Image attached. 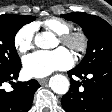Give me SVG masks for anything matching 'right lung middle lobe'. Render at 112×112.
I'll return each mask as SVG.
<instances>
[{"label":"right lung middle lobe","mask_w":112,"mask_h":112,"mask_svg":"<svg viewBox=\"0 0 112 112\" xmlns=\"http://www.w3.org/2000/svg\"><path fill=\"white\" fill-rule=\"evenodd\" d=\"M35 19L34 16L0 15V75L21 62L14 46V38L23 25Z\"/></svg>","instance_id":"right-lung-middle-lobe-1"}]
</instances>
